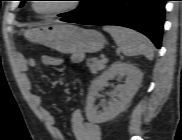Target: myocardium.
<instances>
[{
    "label": "myocardium",
    "mask_w": 182,
    "mask_h": 140,
    "mask_svg": "<svg viewBox=\"0 0 182 140\" xmlns=\"http://www.w3.org/2000/svg\"><path fill=\"white\" fill-rule=\"evenodd\" d=\"M77 8H78V3L76 1H71V3H69L68 6H66L65 8L55 10V11H51V12H47V13H42V12H40L38 10L37 4L33 5V10L35 11V13H37L42 18L56 17V16L62 15L64 13L71 12V11L77 9Z\"/></svg>",
    "instance_id": "myocardium-1"
}]
</instances>
